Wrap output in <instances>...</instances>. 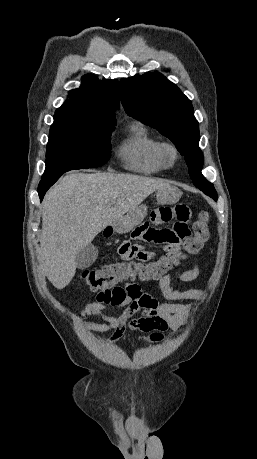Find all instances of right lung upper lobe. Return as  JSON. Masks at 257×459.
I'll list each match as a JSON object with an SVG mask.
<instances>
[{
  "label": "right lung upper lobe",
  "mask_w": 257,
  "mask_h": 459,
  "mask_svg": "<svg viewBox=\"0 0 257 459\" xmlns=\"http://www.w3.org/2000/svg\"><path fill=\"white\" fill-rule=\"evenodd\" d=\"M68 97L54 118L101 127L116 125L115 111L119 109L116 80L99 81L94 75H85L80 88L70 91Z\"/></svg>",
  "instance_id": "right-lung-upper-lobe-1"
}]
</instances>
